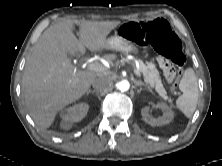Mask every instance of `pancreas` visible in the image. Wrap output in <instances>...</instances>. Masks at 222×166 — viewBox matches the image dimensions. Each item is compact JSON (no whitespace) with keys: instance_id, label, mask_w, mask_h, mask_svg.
I'll return each instance as SVG.
<instances>
[{"instance_id":"obj_1","label":"pancreas","mask_w":222,"mask_h":166,"mask_svg":"<svg viewBox=\"0 0 222 166\" xmlns=\"http://www.w3.org/2000/svg\"><path fill=\"white\" fill-rule=\"evenodd\" d=\"M122 62L130 63L128 59H122ZM138 71L142 73L145 82L151 88H154L159 96H161L164 100H170L162 84L159 71L156 68L155 64H153L152 62H147L146 64H144L142 61H139Z\"/></svg>"}]
</instances>
